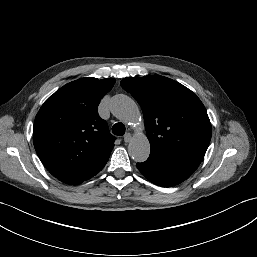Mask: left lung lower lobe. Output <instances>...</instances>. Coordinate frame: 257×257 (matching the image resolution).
<instances>
[{
  "label": "left lung lower lobe",
  "instance_id": "0a47b994",
  "mask_svg": "<svg viewBox=\"0 0 257 257\" xmlns=\"http://www.w3.org/2000/svg\"><path fill=\"white\" fill-rule=\"evenodd\" d=\"M201 161L202 159L196 157L161 158L149 156L145 162L137 163V168L152 183L171 187L190 177Z\"/></svg>",
  "mask_w": 257,
  "mask_h": 257
}]
</instances>
